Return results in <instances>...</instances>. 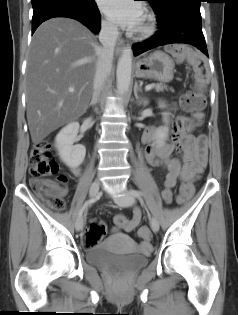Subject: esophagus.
I'll return each instance as SVG.
<instances>
[{
  "label": "esophagus",
  "instance_id": "obj_1",
  "mask_svg": "<svg viewBox=\"0 0 238 315\" xmlns=\"http://www.w3.org/2000/svg\"><path fill=\"white\" fill-rule=\"evenodd\" d=\"M123 48H124V43L122 41H118L115 48L116 53L120 54Z\"/></svg>",
  "mask_w": 238,
  "mask_h": 315
}]
</instances>
